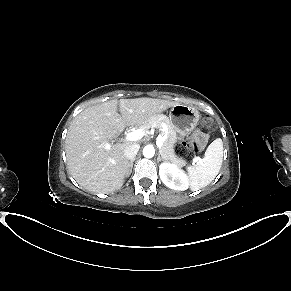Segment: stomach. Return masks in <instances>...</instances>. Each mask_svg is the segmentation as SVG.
Segmentation results:
<instances>
[{"label": "stomach", "mask_w": 291, "mask_h": 291, "mask_svg": "<svg viewBox=\"0 0 291 291\" xmlns=\"http://www.w3.org/2000/svg\"><path fill=\"white\" fill-rule=\"evenodd\" d=\"M199 119L200 113L197 109L183 104H176L169 113L170 123L179 135L191 133Z\"/></svg>", "instance_id": "obj_1"}]
</instances>
